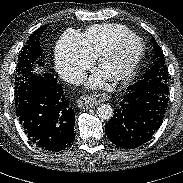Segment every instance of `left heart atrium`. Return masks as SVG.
<instances>
[{"label": "left heart atrium", "mask_w": 183, "mask_h": 183, "mask_svg": "<svg viewBox=\"0 0 183 183\" xmlns=\"http://www.w3.org/2000/svg\"><path fill=\"white\" fill-rule=\"evenodd\" d=\"M102 82H103V79L101 76H95L91 79L90 86L91 87H98L102 84Z\"/></svg>", "instance_id": "1"}]
</instances>
